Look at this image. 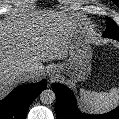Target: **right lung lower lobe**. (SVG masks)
Wrapping results in <instances>:
<instances>
[{"instance_id":"98d812e1","label":"right lung lower lobe","mask_w":119,"mask_h":119,"mask_svg":"<svg viewBox=\"0 0 119 119\" xmlns=\"http://www.w3.org/2000/svg\"><path fill=\"white\" fill-rule=\"evenodd\" d=\"M46 87L47 82L42 80L15 88L0 101V119H25L30 104Z\"/></svg>"}]
</instances>
